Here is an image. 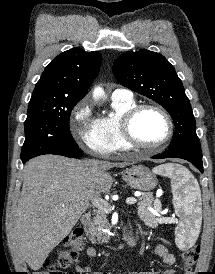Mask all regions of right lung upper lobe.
I'll return each mask as SVG.
<instances>
[{
  "mask_svg": "<svg viewBox=\"0 0 215 274\" xmlns=\"http://www.w3.org/2000/svg\"><path fill=\"white\" fill-rule=\"evenodd\" d=\"M102 56L73 48L59 54L47 65L30 102H79L97 75Z\"/></svg>",
  "mask_w": 215,
  "mask_h": 274,
  "instance_id": "right-lung-upper-lobe-1",
  "label": "right lung upper lobe"
}]
</instances>
